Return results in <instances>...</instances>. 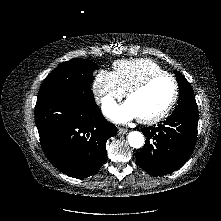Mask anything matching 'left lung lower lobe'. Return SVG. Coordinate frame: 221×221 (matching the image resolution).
<instances>
[{
  "instance_id": "0a47b994",
  "label": "left lung lower lobe",
  "mask_w": 221,
  "mask_h": 221,
  "mask_svg": "<svg viewBox=\"0 0 221 221\" xmlns=\"http://www.w3.org/2000/svg\"><path fill=\"white\" fill-rule=\"evenodd\" d=\"M198 109L174 112L158 125L145 127L143 149L137 163L148 174L166 175L176 171L189 159L197 140Z\"/></svg>"
}]
</instances>
